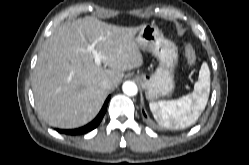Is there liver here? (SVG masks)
Masks as SVG:
<instances>
[{
	"instance_id": "1",
	"label": "liver",
	"mask_w": 249,
	"mask_h": 165,
	"mask_svg": "<svg viewBox=\"0 0 249 165\" xmlns=\"http://www.w3.org/2000/svg\"><path fill=\"white\" fill-rule=\"evenodd\" d=\"M141 27H119L95 17L60 25L45 41L34 69L32 90L39 115L51 126L77 128L92 121L124 71L143 65L134 36ZM107 59L95 63L87 47ZM108 67V69H106ZM109 79L110 89L101 82Z\"/></svg>"
}]
</instances>
